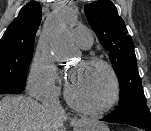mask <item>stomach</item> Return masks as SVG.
Here are the masks:
<instances>
[{
  "label": "stomach",
  "mask_w": 151,
  "mask_h": 131,
  "mask_svg": "<svg viewBox=\"0 0 151 131\" xmlns=\"http://www.w3.org/2000/svg\"><path fill=\"white\" fill-rule=\"evenodd\" d=\"M75 131H109L107 125L98 120L83 119L74 125Z\"/></svg>",
  "instance_id": "0dacf381"
}]
</instances>
